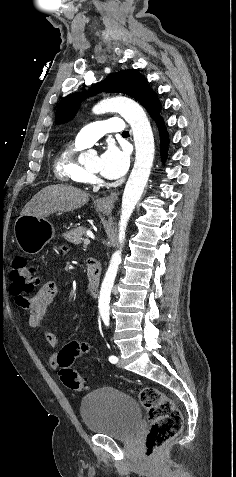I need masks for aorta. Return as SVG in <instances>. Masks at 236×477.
Instances as JSON below:
<instances>
[{"instance_id": "obj_1", "label": "aorta", "mask_w": 236, "mask_h": 477, "mask_svg": "<svg viewBox=\"0 0 236 477\" xmlns=\"http://www.w3.org/2000/svg\"><path fill=\"white\" fill-rule=\"evenodd\" d=\"M95 114L105 112H118L131 126L135 143V163L126 183L121 207L119 222V242L121 246L125 240L127 222L140 200L150 176L154 160V138L150 122L143 108L135 101L117 96L100 101L94 108ZM89 153H85L87 156ZM121 248L111 258L110 265L105 274L99 295V312L103 320L109 319L110 295L121 263Z\"/></svg>"}]
</instances>
